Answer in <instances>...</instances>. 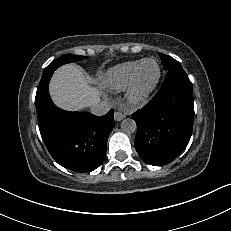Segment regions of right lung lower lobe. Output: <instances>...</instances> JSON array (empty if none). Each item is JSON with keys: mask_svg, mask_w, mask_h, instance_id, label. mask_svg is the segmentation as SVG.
Instances as JSON below:
<instances>
[{"mask_svg": "<svg viewBox=\"0 0 231 231\" xmlns=\"http://www.w3.org/2000/svg\"><path fill=\"white\" fill-rule=\"evenodd\" d=\"M55 70L43 72L35 105L42 139L51 156L76 172H89L102 162L108 136L115 126L113 110L104 116L88 112H68L51 101L48 83Z\"/></svg>", "mask_w": 231, "mask_h": 231, "instance_id": "obj_1", "label": "right lung lower lobe"}]
</instances>
